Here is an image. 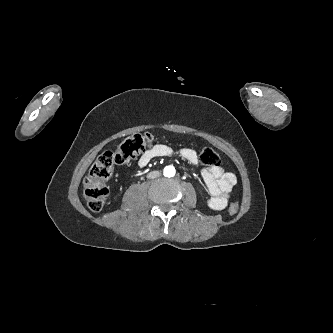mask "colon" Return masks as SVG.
Returning a JSON list of instances; mask_svg holds the SVG:
<instances>
[{"mask_svg": "<svg viewBox=\"0 0 333 333\" xmlns=\"http://www.w3.org/2000/svg\"><path fill=\"white\" fill-rule=\"evenodd\" d=\"M153 136L149 133H138L127 137L114 151L103 152L89 170L84 179L83 191L88 207L95 212L102 210L108 190L106 181L112 176L116 165L130 163L151 146ZM199 159L202 164L215 166L220 163L219 155L211 148L203 147ZM239 210L237 202L229 206V213L236 214Z\"/></svg>", "mask_w": 333, "mask_h": 333, "instance_id": "1", "label": "colon"}]
</instances>
